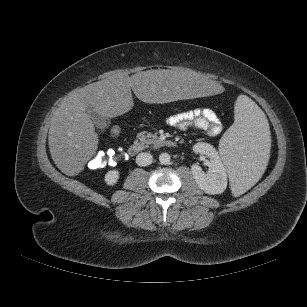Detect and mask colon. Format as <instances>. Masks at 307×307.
Segmentation results:
<instances>
[{"label":"colon","mask_w":307,"mask_h":307,"mask_svg":"<svg viewBox=\"0 0 307 307\" xmlns=\"http://www.w3.org/2000/svg\"><path fill=\"white\" fill-rule=\"evenodd\" d=\"M121 133L122 129L118 125L112 127L110 130V134L113 137H118ZM124 153L125 150L122 148L99 151L88 160V166L90 169L96 170L105 166L115 165L123 157Z\"/></svg>","instance_id":"1"}]
</instances>
